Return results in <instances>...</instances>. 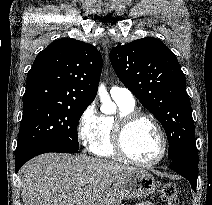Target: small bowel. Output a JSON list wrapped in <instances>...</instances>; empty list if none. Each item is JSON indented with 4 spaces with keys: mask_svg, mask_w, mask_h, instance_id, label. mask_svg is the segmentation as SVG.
Masks as SVG:
<instances>
[{
    "mask_svg": "<svg viewBox=\"0 0 212 205\" xmlns=\"http://www.w3.org/2000/svg\"><path fill=\"white\" fill-rule=\"evenodd\" d=\"M136 205H153V204L147 203V202H143V203H138V204H136Z\"/></svg>",
    "mask_w": 212,
    "mask_h": 205,
    "instance_id": "small-bowel-1",
    "label": "small bowel"
}]
</instances>
